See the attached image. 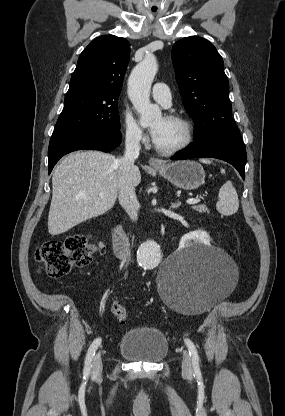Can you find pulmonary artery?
I'll return each mask as SVG.
<instances>
[{
	"mask_svg": "<svg viewBox=\"0 0 285 416\" xmlns=\"http://www.w3.org/2000/svg\"><path fill=\"white\" fill-rule=\"evenodd\" d=\"M167 85L162 82H158L153 87L154 98L161 102H170L172 100L171 89L166 87Z\"/></svg>",
	"mask_w": 285,
	"mask_h": 416,
	"instance_id": "e3ab8cb5",
	"label": "pulmonary artery"
}]
</instances>
